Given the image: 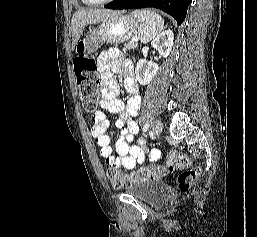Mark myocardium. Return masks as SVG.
<instances>
[{
    "label": "myocardium",
    "mask_w": 257,
    "mask_h": 237,
    "mask_svg": "<svg viewBox=\"0 0 257 237\" xmlns=\"http://www.w3.org/2000/svg\"><path fill=\"white\" fill-rule=\"evenodd\" d=\"M91 5H104L115 0H86Z\"/></svg>",
    "instance_id": "f54148a6"
}]
</instances>
